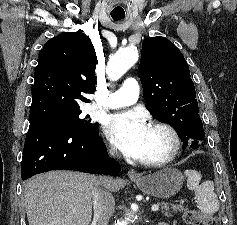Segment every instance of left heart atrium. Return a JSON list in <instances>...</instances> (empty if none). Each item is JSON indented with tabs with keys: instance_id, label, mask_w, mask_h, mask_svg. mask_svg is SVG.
I'll use <instances>...</instances> for the list:
<instances>
[{
	"instance_id": "39dd6f15",
	"label": "left heart atrium",
	"mask_w": 237,
	"mask_h": 225,
	"mask_svg": "<svg viewBox=\"0 0 237 225\" xmlns=\"http://www.w3.org/2000/svg\"><path fill=\"white\" fill-rule=\"evenodd\" d=\"M148 126L138 113L125 112L111 115L105 131L115 145L127 156L141 158Z\"/></svg>"
}]
</instances>
